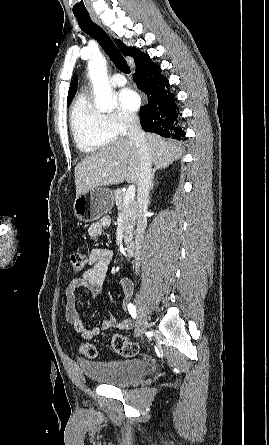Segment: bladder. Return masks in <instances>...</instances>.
<instances>
[{
    "mask_svg": "<svg viewBox=\"0 0 269 445\" xmlns=\"http://www.w3.org/2000/svg\"><path fill=\"white\" fill-rule=\"evenodd\" d=\"M80 368L90 381L125 387L138 382L145 375L147 363L142 359L109 362L82 361Z\"/></svg>",
    "mask_w": 269,
    "mask_h": 445,
    "instance_id": "31cf9c89",
    "label": "bladder"
}]
</instances>
